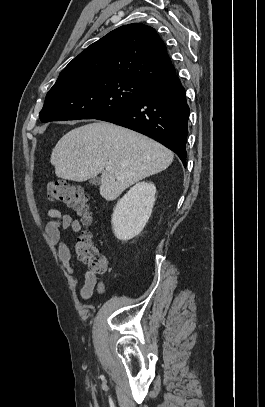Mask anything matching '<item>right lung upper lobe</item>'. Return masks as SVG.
<instances>
[{
    "label": "right lung upper lobe",
    "instance_id": "right-lung-upper-lobe-1",
    "mask_svg": "<svg viewBox=\"0 0 265 407\" xmlns=\"http://www.w3.org/2000/svg\"><path fill=\"white\" fill-rule=\"evenodd\" d=\"M174 73L165 44L155 29L133 23L121 26L91 44L65 67L57 82L101 75L151 87Z\"/></svg>",
    "mask_w": 265,
    "mask_h": 407
}]
</instances>
